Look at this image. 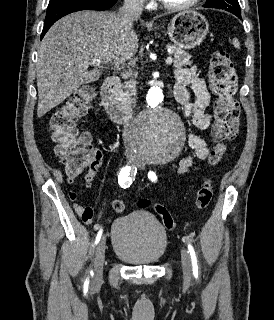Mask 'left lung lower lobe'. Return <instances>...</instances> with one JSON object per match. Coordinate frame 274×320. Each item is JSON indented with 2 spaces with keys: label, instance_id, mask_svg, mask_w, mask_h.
Returning <instances> with one entry per match:
<instances>
[{
  "label": "left lung lower lobe",
  "instance_id": "obj_1",
  "mask_svg": "<svg viewBox=\"0 0 274 320\" xmlns=\"http://www.w3.org/2000/svg\"><path fill=\"white\" fill-rule=\"evenodd\" d=\"M233 14H235L238 18L241 19V12H235V13H233Z\"/></svg>",
  "mask_w": 274,
  "mask_h": 320
}]
</instances>
